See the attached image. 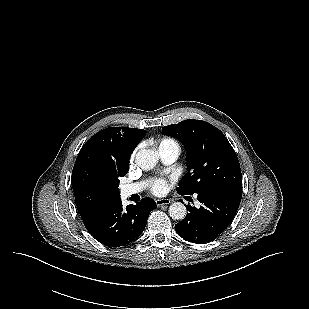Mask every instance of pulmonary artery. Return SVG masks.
<instances>
[{
  "label": "pulmonary artery",
  "mask_w": 309,
  "mask_h": 309,
  "mask_svg": "<svg viewBox=\"0 0 309 309\" xmlns=\"http://www.w3.org/2000/svg\"><path fill=\"white\" fill-rule=\"evenodd\" d=\"M159 154L161 157V160L165 164H171L176 161L180 154V149L175 146H163L159 148ZM144 183H134V184H128L124 185L121 188L122 194L124 196H130L132 194L139 193L143 190Z\"/></svg>",
  "instance_id": "pulmonary-artery-1"
}]
</instances>
